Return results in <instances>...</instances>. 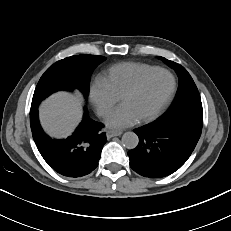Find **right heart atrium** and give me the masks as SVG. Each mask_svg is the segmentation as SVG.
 <instances>
[{
	"label": "right heart atrium",
	"mask_w": 231,
	"mask_h": 231,
	"mask_svg": "<svg viewBox=\"0 0 231 231\" xmlns=\"http://www.w3.org/2000/svg\"><path fill=\"white\" fill-rule=\"evenodd\" d=\"M90 98L100 116H106L119 101L102 77H98L92 82Z\"/></svg>",
	"instance_id": "d8ad5b80"
}]
</instances>
